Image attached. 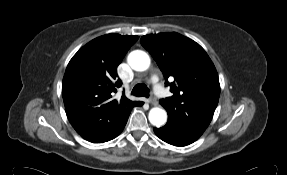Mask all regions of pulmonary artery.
I'll use <instances>...</instances> for the list:
<instances>
[{
	"mask_svg": "<svg viewBox=\"0 0 287 175\" xmlns=\"http://www.w3.org/2000/svg\"><path fill=\"white\" fill-rule=\"evenodd\" d=\"M155 93L156 94L162 93V88L159 85H155Z\"/></svg>",
	"mask_w": 287,
	"mask_h": 175,
	"instance_id": "1",
	"label": "pulmonary artery"
}]
</instances>
